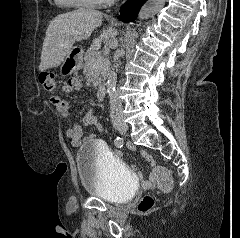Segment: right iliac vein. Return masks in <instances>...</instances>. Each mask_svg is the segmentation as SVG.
Masks as SVG:
<instances>
[{
	"label": "right iliac vein",
	"instance_id": "obj_1",
	"mask_svg": "<svg viewBox=\"0 0 240 238\" xmlns=\"http://www.w3.org/2000/svg\"><path fill=\"white\" fill-rule=\"evenodd\" d=\"M116 128H117V130H118L120 133H122V134H123V133H126V131H127V129H128L127 125L124 124V123H119V124H117Z\"/></svg>",
	"mask_w": 240,
	"mask_h": 238
}]
</instances>
